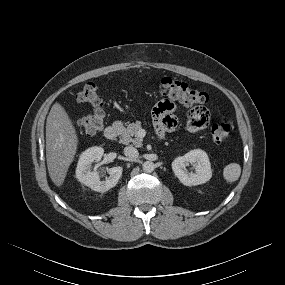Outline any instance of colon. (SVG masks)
I'll list each match as a JSON object with an SVG mask.
<instances>
[{"instance_id":"colon-1","label":"colon","mask_w":285,"mask_h":285,"mask_svg":"<svg viewBox=\"0 0 285 285\" xmlns=\"http://www.w3.org/2000/svg\"><path fill=\"white\" fill-rule=\"evenodd\" d=\"M160 91L163 95H170L182 104L196 106L208 101L207 93L192 88L185 82L164 77L159 83ZM80 103L88 104L93 107L91 114L78 119L75 124L79 131L86 135H93L103 128L105 112L103 100L93 83H87L77 94ZM232 132V125L227 122H216L211 127V136L214 142L223 143L228 139Z\"/></svg>"}]
</instances>
